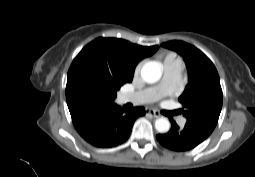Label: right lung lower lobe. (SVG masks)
<instances>
[{
  "instance_id": "obj_1",
  "label": "right lung lower lobe",
  "mask_w": 255,
  "mask_h": 177,
  "mask_svg": "<svg viewBox=\"0 0 255 177\" xmlns=\"http://www.w3.org/2000/svg\"><path fill=\"white\" fill-rule=\"evenodd\" d=\"M77 132L88 143L102 148L125 142L135 120L145 114L143 107L124 111L117 104L86 102L69 110Z\"/></svg>"
}]
</instances>
